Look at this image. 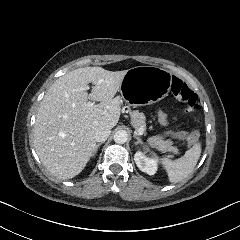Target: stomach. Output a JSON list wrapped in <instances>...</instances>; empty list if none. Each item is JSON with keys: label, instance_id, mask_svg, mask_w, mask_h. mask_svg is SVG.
I'll return each instance as SVG.
<instances>
[{"label": "stomach", "instance_id": "obj_1", "mask_svg": "<svg viewBox=\"0 0 240 240\" xmlns=\"http://www.w3.org/2000/svg\"><path fill=\"white\" fill-rule=\"evenodd\" d=\"M171 74L156 66H137L127 70L119 89L121 98L130 106L159 102L170 92Z\"/></svg>", "mask_w": 240, "mask_h": 240}]
</instances>
